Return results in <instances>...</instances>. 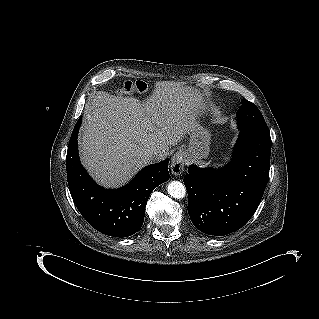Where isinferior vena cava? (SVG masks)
Returning a JSON list of instances; mask_svg holds the SVG:
<instances>
[{"instance_id": "1", "label": "inferior vena cava", "mask_w": 319, "mask_h": 319, "mask_svg": "<svg viewBox=\"0 0 319 319\" xmlns=\"http://www.w3.org/2000/svg\"><path fill=\"white\" fill-rule=\"evenodd\" d=\"M167 155L161 151H155L148 154V160L150 163L162 161Z\"/></svg>"}]
</instances>
